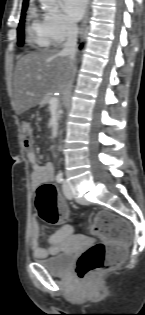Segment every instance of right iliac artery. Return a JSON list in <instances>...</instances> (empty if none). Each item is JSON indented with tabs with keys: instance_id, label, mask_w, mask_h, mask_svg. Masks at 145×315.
I'll return each instance as SVG.
<instances>
[{
	"instance_id": "1",
	"label": "right iliac artery",
	"mask_w": 145,
	"mask_h": 315,
	"mask_svg": "<svg viewBox=\"0 0 145 315\" xmlns=\"http://www.w3.org/2000/svg\"><path fill=\"white\" fill-rule=\"evenodd\" d=\"M56 181H57V183H59V184L63 183L64 178H63V174H62V173H59V174L56 176Z\"/></svg>"
}]
</instances>
